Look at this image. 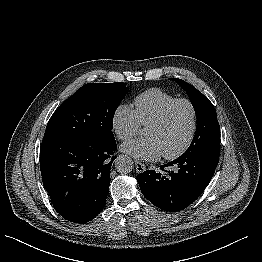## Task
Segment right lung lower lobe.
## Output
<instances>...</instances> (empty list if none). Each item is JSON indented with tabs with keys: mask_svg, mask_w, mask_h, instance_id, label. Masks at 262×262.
I'll list each match as a JSON object with an SVG mask.
<instances>
[{
	"mask_svg": "<svg viewBox=\"0 0 262 262\" xmlns=\"http://www.w3.org/2000/svg\"><path fill=\"white\" fill-rule=\"evenodd\" d=\"M115 138L42 141L40 168L54 209L66 220L86 223L103 209L116 156Z\"/></svg>",
	"mask_w": 262,
	"mask_h": 262,
	"instance_id": "1",
	"label": "right lung lower lobe"
}]
</instances>
